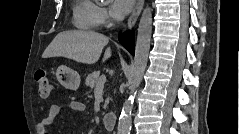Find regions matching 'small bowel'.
Returning a JSON list of instances; mask_svg holds the SVG:
<instances>
[{
	"label": "small bowel",
	"instance_id": "c3829d8e",
	"mask_svg": "<svg viewBox=\"0 0 239 134\" xmlns=\"http://www.w3.org/2000/svg\"><path fill=\"white\" fill-rule=\"evenodd\" d=\"M64 108H69L77 114H82L85 112V105L78 101H72L67 104H53L49 109L48 116L39 124L40 134H48L46 127L54 122Z\"/></svg>",
	"mask_w": 239,
	"mask_h": 134
}]
</instances>
